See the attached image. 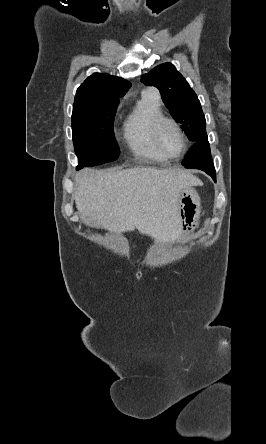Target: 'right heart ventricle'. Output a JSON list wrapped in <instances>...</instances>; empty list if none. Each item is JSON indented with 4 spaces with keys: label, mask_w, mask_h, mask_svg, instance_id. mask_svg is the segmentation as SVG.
I'll return each mask as SVG.
<instances>
[{
    "label": "right heart ventricle",
    "mask_w": 266,
    "mask_h": 444,
    "mask_svg": "<svg viewBox=\"0 0 266 444\" xmlns=\"http://www.w3.org/2000/svg\"><path fill=\"white\" fill-rule=\"evenodd\" d=\"M164 116L157 94L147 91L136 102L123 126L124 140L130 151L138 158L162 161V155L154 145L152 130L155 121Z\"/></svg>",
    "instance_id": "e07e8e85"
}]
</instances>
